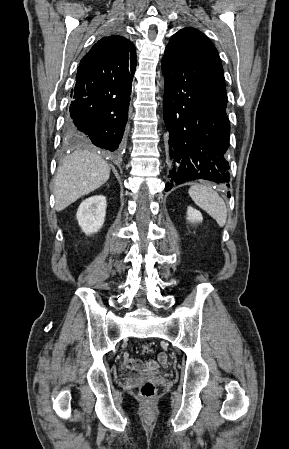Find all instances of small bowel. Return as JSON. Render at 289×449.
I'll return each mask as SVG.
<instances>
[{
  "mask_svg": "<svg viewBox=\"0 0 289 449\" xmlns=\"http://www.w3.org/2000/svg\"><path fill=\"white\" fill-rule=\"evenodd\" d=\"M169 356L165 352H160L158 355V360H148L146 362H142L132 358L128 353L124 354V365L128 369L132 370H148L152 371L157 369L159 366L164 368L168 362Z\"/></svg>",
  "mask_w": 289,
  "mask_h": 449,
  "instance_id": "small-bowel-1",
  "label": "small bowel"
}]
</instances>
